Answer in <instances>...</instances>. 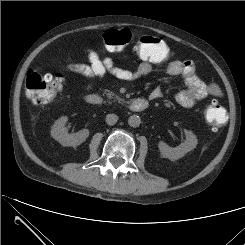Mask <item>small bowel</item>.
<instances>
[{"label": "small bowel", "mask_w": 245, "mask_h": 245, "mask_svg": "<svg viewBox=\"0 0 245 245\" xmlns=\"http://www.w3.org/2000/svg\"><path fill=\"white\" fill-rule=\"evenodd\" d=\"M87 65L77 64L68 58L67 67L70 71L78 73L87 79V88H91L97 78L110 73L124 81H135L149 75L154 67L149 62H141L135 69L117 67L109 57H100L94 50H87ZM169 75L183 78L185 88L175 94V101L183 107H193L208 96L219 94L214 84L202 81L196 71L195 64L190 60H173L166 65ZM161 96L160 89L151 92L150 97L157 99Z\"/></svg>", "instance_id": "1"}]
</instances>
